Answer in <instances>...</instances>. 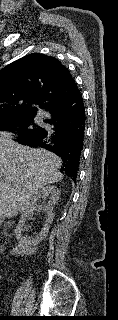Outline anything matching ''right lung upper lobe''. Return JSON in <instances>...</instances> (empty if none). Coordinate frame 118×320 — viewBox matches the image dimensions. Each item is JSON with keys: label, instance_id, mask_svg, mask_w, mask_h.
Returning a JSON list of instances; mask_svg holds the SVG:
<instances>
[{"label": "right lung upper lobe", "instance_id": "obj_1", "mask_svg": "<svg viewBox=\"0 0 118 320\" xmlns=\"http://www.w3.org/2000/svg\"><path fill=\"white\" fill-rule=\"evenodd\" d=\"M79 93L71 74L56 58L30 54L0 71V119L34 117L37 108L49 111Z\"/></svg>", "mask_w": 118, "mask_h": 320}]
</instances>
